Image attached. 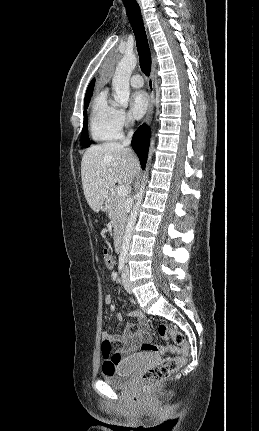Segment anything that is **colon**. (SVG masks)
Segmentation results:
<instances>
[{
	"mask_svg": "<svg viewBox=\"0 0 259 431\" xmlns=\"http://www.w3.org/2000/svg\"><path fill=\"white\" fill-rule=\"evenodd\" d=\"M104 261L108 269L113 268L114 260L107 250L104 251ZM157 331L161 338L171 339L175 346L161 347L152 343H144L141 346V350L143 352L160 354L171 353L176 356L164 358L160 363L149 368L143 373L142 384L147 388L156 385L174 374L185 363L186 357L189 353V345L186 341L185 335L181 331L165 323H160L157 326ZM101 350L103 355H108L112 350L111 344L108 341H102ZM104 371L112 372L114 371V368L110 365H105Z\"/></svg>",
	"mask_w": 259,
	"mask_h": 431,
	"instance_id": "5ec220e1",
	"label": "colon"
}]
</instances>
